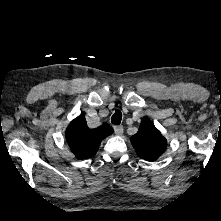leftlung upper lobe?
<instances>
[{"mask_svg":"<svg viewBox=\"0 0 221 221\" xmlns=\"http://www.w3.org/2000/svg\"><path fill=\"white\" fill-rule=\"evenodd\" d=\"M130 140L138 156L147 161L158 159L167 146L166 139L150 121H144Z\"/></svg>","mask_w":221,"mask_h":221,"instance_id":"1","label":"left lung upper lobe"}]
</instances>
